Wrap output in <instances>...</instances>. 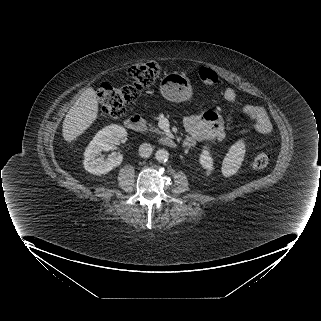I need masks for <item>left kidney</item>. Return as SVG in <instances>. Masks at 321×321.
<instances>
[{"instance_id": "5707ae66", "label": "left kidney", "mask_w": 321, "mask_h": 321, "mask_svg": "<svg viewBox=\"0 0 321 321\" xmlns=\"http://www.w3.org/2000/svg\"><path fill=\"white\" fill-rule=\"evenodd\" d=\"M200 165L206 169L207 171H212L213 168V158L211 157V154L209 151L204 150L199 158Z\"/></svg>"}]
</instances>
